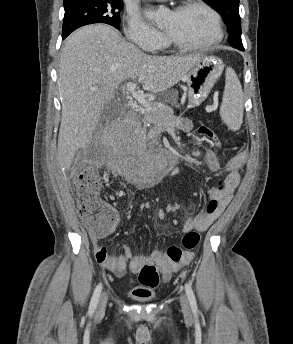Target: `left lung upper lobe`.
I'll use <instances>...</instances> for the list:
<instances>
[{
    "label": "left lung upper lobe",
    "instance_id": "obj_1",
    "mask_svg": "<svg viewBox=\"0 0 293 344\" xmlns=\"http://www.w3.org/2000/svg\"><path fill=\"white\" fill-rule=\"evenodd\" d=\"M224 18L227 25L230 44L237 49H244L241 40V23L239 15V0H203Z\"/></svg>",
    "mask_w": 293,
    "mask_h": 344
}]
</instances>
